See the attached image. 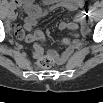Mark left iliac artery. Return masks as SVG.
<instances>
[{
  "mask_svg": "<svg viewBox=\"0 0 103 103\" xmlns=\"http://www.w3.org/2000/svg\"><path fill=\"white\" fill-rule=\"evenodd\" d=\"M87 14L89 15V17H93V15H94V8L92 6H90L88 8Z\"/></svg>",
  "mask_w": 103,
  "mask_h": 103,
  "instance_id": "44dca946",
  "label": "left iliac artery"
}]
</instances>
